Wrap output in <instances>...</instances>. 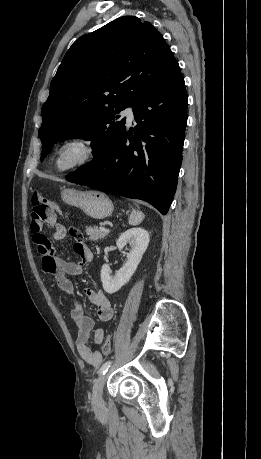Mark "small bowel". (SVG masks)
Wrapping results in <instances>:
<instances>
[{"mask_svg":"<svg viewBox=\"0 0 261 459\" xmlns=\"http://www.w3.org/2000/svg\"><path fill=\"white\" fill-rule=\"evenodd\" d=\"M48 229L51 238L55 241H62L67 235L73 239V249L79 256V261L71 262L60 258L52 240L46 234L44 238H35L33 234V241L38 246L41 254L42 269L55 277L57 285L63 293L75 296L74 284L68 276L80 275L83 268L92 262L93 253L84 243L83 236L79 230L58 224L56 219L48 225ZM84 294L96 307L97 316L101 322H108L112 319L113 308L102 290L86 288L84 289ZM69 315L78 327L76 348L80 357L92 366H99L102 362V356L99 351L93 350L89 346V341L93 338L96 344H101L105 337L104 330L95 327L93 318L86 314L83 303L76 297Z\"/></svg>","mask_w":261,"mask_h":459,"instance_id":"c3829d8e","label":"small bowel"}]
</instances>
